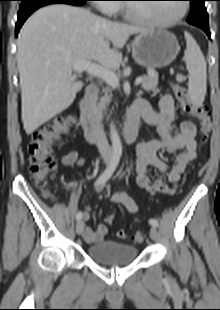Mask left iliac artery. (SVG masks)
Instances as JSON below:
<instances>
[{
	"instance_id": "1",
	"label": "left iliac artery",
	"mask_w": 220,
	"mask_h": 310,
	"mask_svg": "<svg viewBox=\"0 0 220 310\" xmlns=\"http://www.w3.org/2000/svg\"><path fill=\"white\" fill-rule=\"evenodd\" d=\"M150 225L157 227L158 226V221L156 219H150L149 220Z\"/></svg>"
}]
</instances>
